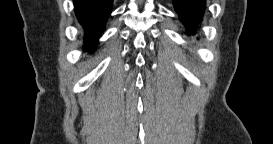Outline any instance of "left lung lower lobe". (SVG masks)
<instances>
[{"instance_id":"obj_1","label":"left lung lower lobe","mask_w":273,"mask_h":144,"mask_svg":"<svg viewBox=\"0 0 273 144\" xmlns=\"http://www.w3.org/2000/svg\"><path fill=\"white\" fill-rule=\"evenodd\" d=\"M173 4L180 20L189 30L201 21L205 0H173Z\"/></svg>"}]
</instances>
